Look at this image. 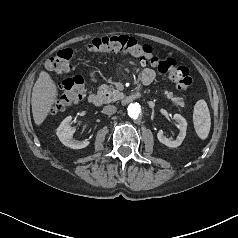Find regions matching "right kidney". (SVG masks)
I'll return each mask as SVG.
<instances>
[{
  "label": "right kidney",
  "mask_w": 238,
  "mask_h": 238,
  "mask_svg": "<svg viewBox=\"0 0 238 238\" xmlns=\"http://www.w3.org/2000/svg\"><path fill=\"white\" fill-rule=\"evenodd\" d=\"M71 121L72 117L68 116L61 122L60 126L57 128L56 133L59 140L62 142V144L72 149L85 148L89 145L90 142L88 140L79 141L73 137L75 128L70 126Z\"/></svg>",
  "instance_id": "right-kidney-1"
}]
</instances>
